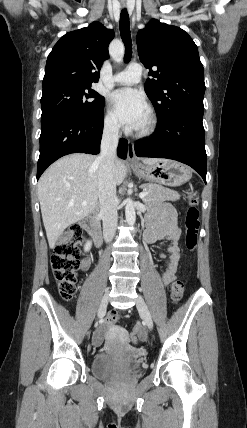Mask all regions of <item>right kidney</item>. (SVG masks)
<instances>
[{
    "label": "right kidney",
    "instance_id": "obj_1",
    "mask_svg": "<svg viewBox=\"0 0 247 428\" xmlns=\"http://www.w3.org/2000/svg\"><path fill=\"white\" fill-rule=\"evenodd\" d=\"M91 246H92V242L88 241L84 247V251L88 252L91 249Z\"/></svg>",
    "mask_w": 247,
    "mask_h": 428
}]
</instances>
